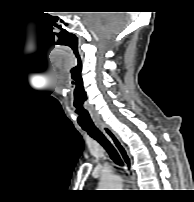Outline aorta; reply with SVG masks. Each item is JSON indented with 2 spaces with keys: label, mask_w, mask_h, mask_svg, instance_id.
Instances as JSON below:
<instances>
[{
  "label": "aorta",
  "mask_w": 194,
  "mask_h": 202,
  "mask_svg": "<svg viewBox=\"0 0 194 202\" xmlns=\"http://www.w3.org/2000/svg\"><path fill=\"white\" fill-rule=\"evenodd\" d=\"M99 190H121L122 180L118 176H102L99 182Z\"/></svg>",
  "instance_id": "762f6f07"
}]
</instances>
